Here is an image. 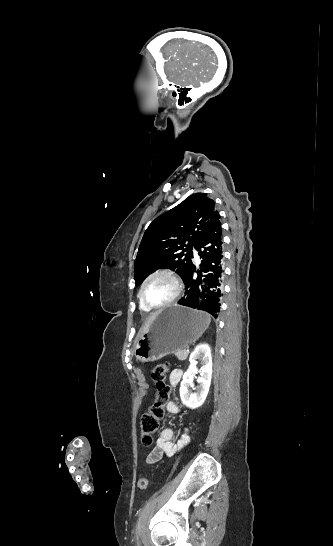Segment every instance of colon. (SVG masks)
Listing matches in <instances>:
<instances>
[{"label": "colon", "instance_id": "obj_1", "mask_svg": "<svg viewBox=\"0 0 333 546\" xmlns=\"http://www.w3.org/2000/svg\"><path fill=\"white\" fill-rule=\"evenodd\" d=\"M167 366L158 364L151 373V378L157 387V396L155 403L141 417V441L143 445L149 446L153 442L154 435L160 429L161 419L164 416V407L170 397V387L165 382ZM149 486V480L142 478L138 481V487L146 490Z\"/></svg>", "mask_w": 333, "mask_h": 546}]
</instances>
